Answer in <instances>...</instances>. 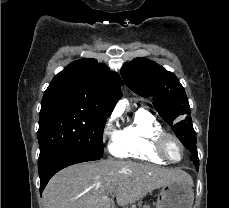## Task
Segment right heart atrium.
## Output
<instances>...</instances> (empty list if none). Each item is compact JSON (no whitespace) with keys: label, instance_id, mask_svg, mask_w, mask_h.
Returning a JSON list of instances; mask_svg holds the SVG:
<instances>
[{"label":"right heart atrium","instance_id":"d8ad5b80","mask_svg":"<svg viewBox=\"0 0 229 208\" xmlns=\"http://www.w3.org/2000/svg\"><path fill=\"white\" fill-rule=\"evenodd\" d=\"M102 138L103 140L109 141V146H110V149L112 150L117 140V133L113 125V118H109L106 120L104 127H103Z\"/></svg>","mask_w":229,"mask_h":208}]
</instances>
